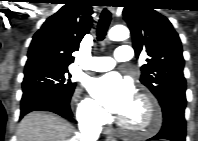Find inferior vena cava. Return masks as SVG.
Segmentation results:
<instances>
[{
	"instance_id": "inferior-vena-cava-1",
	"label": "inferior vena cava",
	"mask_w": 198,
	"mask_h": 141,
	"mask_svg": "<svg viewBox=\"0 0 198 141\" xmlns=\"http://www.w3.org/2000/svg\"><path fill=\"white\" fill-rule=\"evenodd\" d=\"M81 141H96L101 131V124L94 120L83 122L79 126Z\"/></svg>"
}]
</instances>
